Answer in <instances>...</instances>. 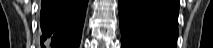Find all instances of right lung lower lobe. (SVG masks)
I'll return each mask as SVG.
<instances>
[{"instance_id": "1", "label": "right lung lower lobe", "mask_w": 213, "mask_h": 48, "mask_svg": "<svg viewBox=\"0 0 213 48\" xmlns=\"http://www.w3.org/2000/svg\"><path fill=\"white\" fill-rule=\"evenodd\" d=\"M88 0H43L41 45L78 48Z\"/></svg>"}]
</instances>
